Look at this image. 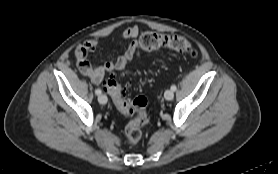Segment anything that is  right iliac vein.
I'll return each mask as SVG.
<instances>
[{"mask_svg": "<svg viewBox=\"0 0 278 174\" xmlns=\"http://www.w3.org/2000/svg\"><path fill=\"white\" fill-rule=\"evenodd\" d=\"M107 96L106 95H100L99 97H98V101H99V103L100 104H106L107 103Z\"/></svg>", "mask_w": 278, "mask_h": 174, "instance_id": "1", "label": "right iliac vein"}]
</instances>
